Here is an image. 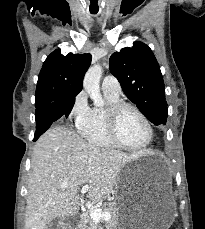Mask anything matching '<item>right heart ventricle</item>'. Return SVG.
Masks as SVG:
<instances>
[{
	"instance_id": "e07e8e85",
	"label": "right heart ventricle",
	"mask_w": 205,
	"mask_h": 229,
	"mask_svg": "<svg viewBox=\"0 0 205 229\" xmlns=\"http://www.w3.org/2000/svg\"><path fill=\"white\" fill-rule=\"evenodd\" d=\"M104 97L107 101L106 107H93L90 111L88 120L78 127L81 136L90 144L101 148L118 147L109 137L106 122V109L110 104L120 102L119 95L105 92Z\"/></svg>"
}]
</instances>
